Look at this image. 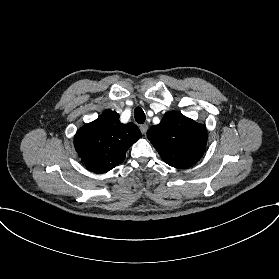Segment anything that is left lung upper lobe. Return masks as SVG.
I'll return each mask as SVG.
<instances>
[{
  "label": "left lung upper lobe",
  "instance_id": "5c2ea615",
  "mask_svg": "<svg viewBox=\"0 0 279 279\" xmlns=\"http://www.w3.org/2000/svg\"><path fill=\"white\" fill-rule=\"evenodd\" d=\"M147 137L167 164L184 169L200 160L208 136L204 125L170 111L148 130Z\"/></svg>",
  "mask_w": 279,
  "mask_h": 279
}]
</instances>
